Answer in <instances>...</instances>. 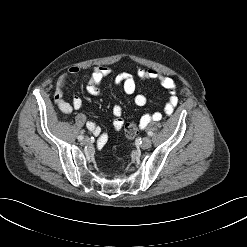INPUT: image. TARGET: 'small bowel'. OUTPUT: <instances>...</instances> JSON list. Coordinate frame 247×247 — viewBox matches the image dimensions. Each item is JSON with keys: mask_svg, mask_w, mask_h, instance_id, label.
I'll return each instance as SVG.
<instances>
[{"mask_svg": "<svg viewBox=\"0 0 247 247\" xmlns=\"http://www.w3.org/2000/svg\"><path fill=\"white\" fill-rule=\"evenodd\" d=\"M80 69L78 67H71L69 69V73L71 75L79 74ZM112 70L109 67L100 66L96 67L90 75V78L86 85V91L90 95H98L99 94V86L101 82L111 74ZM136 78L142 81H154L158 80L161 86L166 89L170 96L168 101L164 106V115L170 116L178 103V98L175 93L176 85L172 78L162 76L158 71L154 69H144L138 68L133 73L130 72H120L115 76L114 82L116 85H120L123 87L124 92L133 97L134 103L137 106H144L147 102L146 96L136 92ZM67 81V76L63 77L60 84L58 85L56 94H55V102L64 114H69L73 110H78L83 105V99L80 96L73 97L71 102L66 101L63 98L64 86ZM113 114V126L116 130H121L124 127V119H123V107L120 104H117L112 109ZM163 117L161 112H153L144 114L140 121V128L146 127L149 123L154 121H159ZM87 129L96 137H98V145L104 146L108 140V136L106 133H103L101 128L94 122L88 121L86 122Z\"/></svg>", "mask_w": 247, "mask_h": 247, "instance_id": "1", "label": "small bowel"}]
</instances>
